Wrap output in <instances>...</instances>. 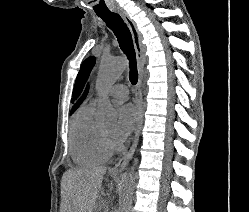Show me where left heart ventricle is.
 <instances>
[{
    "instance_id": "1",
    "label": "left heart ventricle",
    "mask_w": 249,
    "mask_h": 212,
    "mask_svg": "<svg viewBox=\"0 0 249 212\" xmlns=\"http://www.w3.org/2000/svg\"><path fill=\"white\" fill-rule=\"evenodd\" d=\"M102 131L105 134V136H108L111 132V129H103Z\"/></svg>"
}]
</instances>
